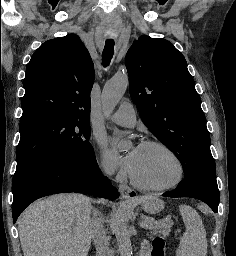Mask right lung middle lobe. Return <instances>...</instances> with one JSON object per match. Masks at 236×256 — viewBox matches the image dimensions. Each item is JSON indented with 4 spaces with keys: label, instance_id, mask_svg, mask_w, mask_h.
Listing matches in <instances>:
<instances>
[{
    "label": "right lung middle lobe",
    "instance_id": "1",
    "mask_svg": "<svg viewBox=\"0 0 236 256\" xmlns=\"http://www.w3.org/2000/svg\"><path fill=\"white\" fill-rule=\"evenodd\" d=\"M17 166L47 155L92 156L89 120L40 113L21 118Z\"/></svg>",
    "mask_w": 236,
    "mask_h": 256
}]
</instances>
